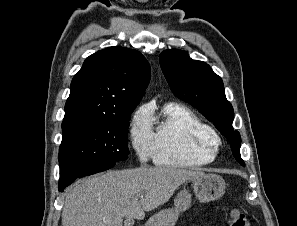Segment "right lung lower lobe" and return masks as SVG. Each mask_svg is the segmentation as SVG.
<instances>
[{
    "label": "right lung lower lobe",
    "mask_w": 297,
    "mask_h": 226,
    "mask_svg": "<svg viewBox=\"0 0 297 226\" xmlns=\"http://www.w3.org/2000/svg\"><path fill=\"white\" fill-rule=\"evenodd\" d=\"M114 165H92L88 167H83L81 169L70 170L67 173L60 176L59 179V191L63 192L64 188L75 181L76 178L88 176L95 174L104 170H107Z\"/></svg>",
    "instance_id": "obj_1"
}]
</instances>
